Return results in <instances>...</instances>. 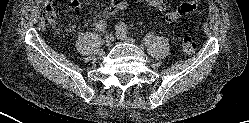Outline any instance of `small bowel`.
Wrapping results in <instances>:
<instances>
[{
	"label": "small bowel",
	"instance_id": "small-bowel-1",
	"mask_svg": "<svg viewBox=\"0 0 249 123\" xmlns=\"http://www.w3.org/2000/svg\"><path fill=\"white\" fill-rule=\"evenodd\" d=\"M54 1L55 0H44L43 2L44 14L46 19L50 23H55L57 21V14L54 9ZM138 1L145 2L149 6L157 8L158 10L162 11L164 13L165 20L167 22L178 21L179 19L183 18L184 16L195 10L198 4V0H191L182 3L175 9L170 10L168 9L165 0H138ZM80 6L81 2L79 0H72L70 4V10L75 11L79 9ZM127 6H128V0H110L109 6L102 9L100 11V14L102 17H110L115 12L126 9Z\"/></svg>",
	"mask_w": 249,
	"mask_h": 123
}]
</instances>
